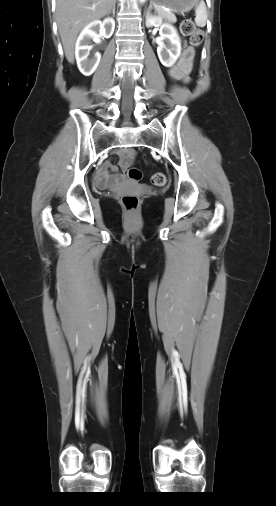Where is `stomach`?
Returning a JSON list of instances; mask_svg holds the SVG:
<instances>
[{
    "label": "stomach",
    "instance_id": "1",
    "mask_svg": "<svg viewBox=\"0 0 276 506\" xmlns=\"http://www.w3.org/2000/svg\"><path fill=\"white\" fill-rule=\"evenodd\" d=\"M156 7H166L173 11L185 13L190 11L198 0H152Z\"/></svg>",
    "mask_w": 276,
    "mask_h": 506
}]
</instances>
